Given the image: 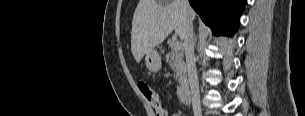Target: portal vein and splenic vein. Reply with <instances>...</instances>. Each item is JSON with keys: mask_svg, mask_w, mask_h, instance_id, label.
<instances>
[{"mask_svg": "<svg viewBox=\"0 0 305 116\" xmlns=\"http://www.w3.org/2000/svg\"><path fill=\"white\" fill-rule=\"evenodd\" d=\"M174 48H175V49H180V48H182L181 43H180V42H175Z\"/></svg>", "mask_w": 305, "mask_h": 116, "instance_id": "portal-vein-and-splenic-vein-1", "label": "portal vein and splenic vein"}]
</instances>
